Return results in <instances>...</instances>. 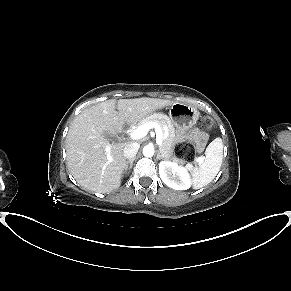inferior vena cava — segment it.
Here are the masks:
<instances>
[{"label": "inferior vena cava", "instance_id": "obj_1", "mask_svg": "<svg viewBox=\"0 0 291 291\" xmlns=\"http://www.w3.org/2000/svg\"><path fill=\"white\" fill-rule=\"evenodd\" d=\"M140 145L138 143H128L123 150L125 158L132 159L136 156Z\"/></svg>", "mask_w": 291, "mask_h": 291}]
</instances>
